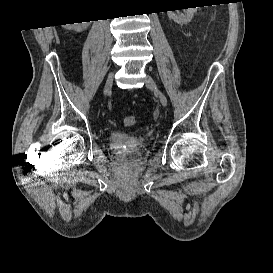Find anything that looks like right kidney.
<instances>
[{"instance_id":"right-kidney-1","label":"right kidney","mask_w":273,"mask_h":273,"mask_svg":"<svg viewBox=\"0 0 273 273\" xmlns=\"http://www.w3.org/2000/svg\"><path fill=\"white\" fill-rule=\"evenodd\" d=\"M75 24L79 26H74L73 29L78 32L85 30L89 26V22H82L80 24L79 23H75Z\"/></svg>"}]
</instances>
